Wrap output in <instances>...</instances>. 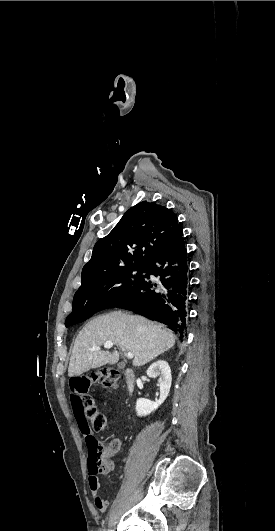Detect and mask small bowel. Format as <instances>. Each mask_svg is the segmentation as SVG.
I'll return each mask as SVG.
<instances>
[{
    "instance_id": "obj_1",
    "label": "small bowel",
    "mask_w": 275,
    "mask_h": 531,
    "mask_svg": "<svg viewBox=\"0 0 275 531\" xmlns=\"http://www.w3.org/2000/svg\"><path fill=\"white\" fill-rule=\"evenodd\" d=\"M69 402L75 416L84 415V400L81 395L71 394ZM81 433L84 437L85 444L90 450L95 444L98 443L97 439L93 436L88 426H80ZM113 468V467H112ZM89 487L92 493L93 502L99 512L104 513L109 508V500L105 497L101 490V484L98 477H89Z\"/></svg>"
}]
</instances>
